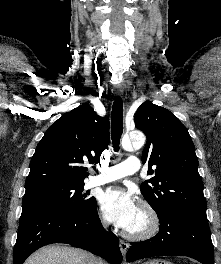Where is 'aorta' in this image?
<instances>
[{"label": "aorta", "mask_w": 221, "mask_h": 264, "mask_svg": "<svg viewBox=\"0 0 221 264\" xmlns=\"http://www.w3.org/2000/svg\"><path fill=\"white\" fill-rule=\"evenodd\" d=\"M131 138H132V145L130 143L129 138L127 137L123 138L122 140L123 149L130 150L132 146L136 149H139L145 143V137L142 134H132Z\"/></svg>", "instance_id": "obj_1"}]
</instances>
